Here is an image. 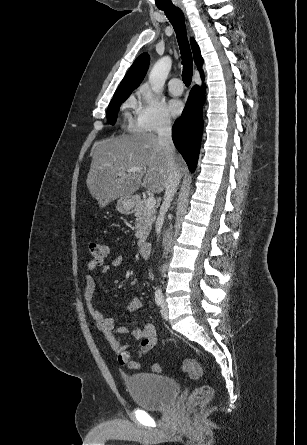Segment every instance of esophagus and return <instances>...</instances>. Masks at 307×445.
Masks as SVG:
<instances>
[{"mask_svg":"<svg viewBox=\"0 0 307 445\" xmlns=\"http://www.w3.org/2000/svg\"><path fill=\"white\" fill-rule=\"evenodd\" d=\"M177 7H179V8L182 10V12L185 11V8H184V6H183L182 3H178V4H177Z\"/></svg>","mask_w":307,"mask_h":445,"instance_id":"34e87169","label":"esophagus"}]
</instances>
